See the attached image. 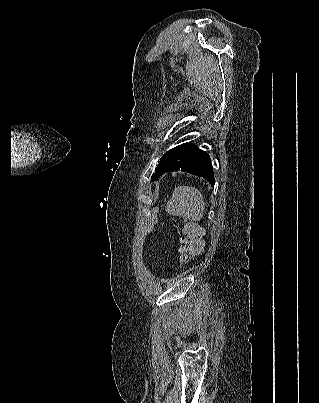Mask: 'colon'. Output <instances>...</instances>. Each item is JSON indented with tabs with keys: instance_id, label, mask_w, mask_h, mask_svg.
Instances as JSON below:
<instances>
[{
	"instance_id": "1",
	"label": "colon",
	"mask_w": 319,
	"mask_h": 403,
	"mask_svg": "<svg viewBox=\"0 0 319 403\" xmlns=\"http://www.w3.org/2000/svg\"><path fill=\"white\" fill-rule=\"evenodd\" d=\"M181 249L178 262L186 264L191 258L198 255L203 248L202 232L194 224H186L181 229Z\"/></svg>"
}]
</instances>
